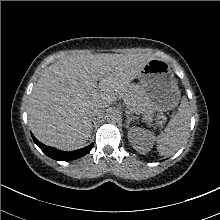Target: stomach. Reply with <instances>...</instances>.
Listing matches in <instances>:
<instances>
[{
  "mask_svg": "<svg viewBox=\"0 0 220 220\" xmlns=\"http://www.w3.org/2000/svg\"><path fill=\"white\" fill-rule=\"evenodd\" d=\"M140 98L134 109L143 120L151 122L155 115L176 107L180 100V89L169 64L154 58L138 74Z\"/></svg>",
  "mask_w": 220,
  "mask_h": 220,
  "instance_id": "0dacf381",
  "label": "stomach"
}]
</instances>
